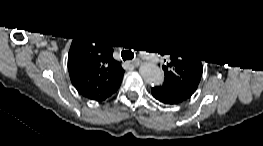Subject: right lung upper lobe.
Listing matches in <instances>:
<instances>
[{
  "mask_svg": "<svg viewBox=\"0 0 263 146\" xmlns=\"http://www.w3.org/2000/svg\"><path fill=\"white\" fill-rule=\"evenodd\" d=\"M71 82L84 97L103 101L119 88L124 70L113 58V48L103 44L94 27L82 28L68 54Z\"/></svg>",
  "mask_w": 263,
  "mask_h": 146,
  "instance_id": "cb5924a9",
  "label": "right lung upper lobe"
}]
</instances>
